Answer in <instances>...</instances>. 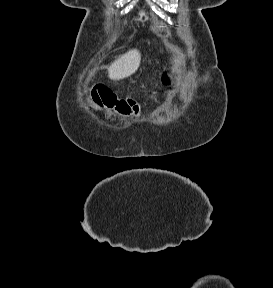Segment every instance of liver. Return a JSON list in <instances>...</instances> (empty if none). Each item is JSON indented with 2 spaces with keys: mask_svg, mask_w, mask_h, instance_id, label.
I'll use <instances>...</instances> for the list:
<instances>
[{
  "mask_svg": "<svg viewBox=\"0 0 273 288\" xmlns=\"http://www.w3.org/2000/svg\"><path fill=\"white\" fill-rule=\"evenodd\" d=\"M141 61V54L137 49L129 50L121 55L108 68V76L112 80L129 77L137 71Z\"/></svg>",
  "mask_w": 273,
  "mask_h": 288,
  "instance_id": "liver-1",
  "label": "liver"
}]
</instances>
